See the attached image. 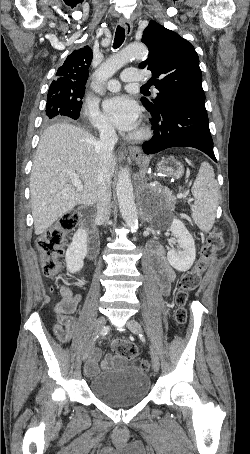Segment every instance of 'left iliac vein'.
Returning a JSON list of instances; mask_svg holds the SVG:
<instances>
[{"instance_id": "left-iliac-vein-1", "label": "left iliac vein", "mask_w": 250, "mask_h": 454, "mask_svg": "<svg viewBox=\"0 0 250 454\" xmlns=\"http://www.w3.org/2000/svg\"><path fill=\"white\" fill-rule=\"evenodd\" d=\"M127 327L133 334L139 335L142 333V328L140 324L135 319H129L126 323ZM151 362L152 368L155 372L159 371L160 361L156 351L151 347Z\"/></svg>"}]
</instances>
